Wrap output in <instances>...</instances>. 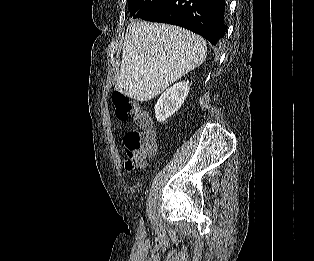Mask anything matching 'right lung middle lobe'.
<instances>
[{
	"label": "right lung middle lobe",
	"mask_w": 314,
	"mask_h": 261,
	"mask_svg": "<svg viewBox=\"0 0 314 261\" xmlns=\"http://www.w3.org/2000/svg\"><path fill=\"white\" fill-rule=\"evenodd\" d=\"M166 0H128L130 15L143 18L149 12L161 6Z\"/></svg>",
	"instance_id": "right-lung-middle-lobe-1"
}]
</instances>
